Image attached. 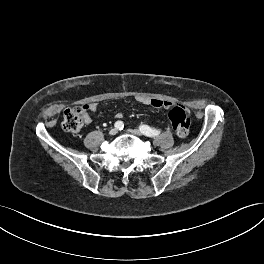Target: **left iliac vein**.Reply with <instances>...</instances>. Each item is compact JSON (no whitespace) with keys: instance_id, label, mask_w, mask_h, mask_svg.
<instances>
[{"instance_id":"1","label":"left iliac vein","mask_w":264,"mask_h":264,"mask_svg":"<svg viewBox=\"0 0 264 264\" xmlns=\"http://www.w3.org/2000/svg\"><path fill=\"white\" fill-rule=\"evenodd\" d=\"M132 133H133L134 135H136V136H142V135H143V133H142L140 130H138V129H134V130L132 131Z\"/></svg>"}]
</instances>
